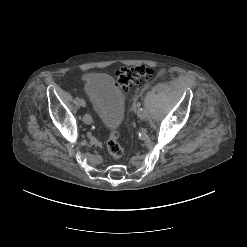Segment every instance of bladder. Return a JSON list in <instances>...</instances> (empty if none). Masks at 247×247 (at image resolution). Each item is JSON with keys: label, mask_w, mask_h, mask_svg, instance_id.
I'll return each instance as SVG.
<instances>
[{"label": "bladder", "mask_w": 247, "mask_h": 247, "mask_svg": "<svg viewBox=\"0 0 247 247\" xmlns=\"http://www.w3.org/2000/svg\"><path fill=\"white\" fill-rule=\"evenodd\" d=\"M85 89L104 128L116 130L125 117V95L112 76L106 73H91L86 76Z\"/></svg>", "instance_id": "obj_1"}]
</instances>
